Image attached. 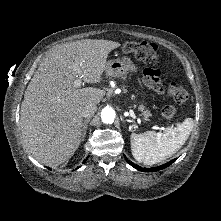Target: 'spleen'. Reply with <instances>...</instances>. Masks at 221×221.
<instances>
[{"instance_id":"3e777b00","label":"spleen","mask_w":221,"mask_h":221,"mask_svg":"<svg viewBox=\"0 0 221 221\" xmlns=\"http://www.w3.org/2000/svg\"><path fill=\"white\" fill-rule=\"evenodd\" d=\"M193 127V119L187 118L175 128L167 127L163 133H132V155L136 161L147 165L159 163L174 155L184 145Z\"/></svg>"}]
</instances>
